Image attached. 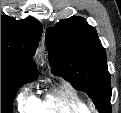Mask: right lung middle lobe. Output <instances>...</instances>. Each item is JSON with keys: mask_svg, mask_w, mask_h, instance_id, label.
I'll list each match as a JSON object with an SVG mask.
<instances>
[{"mask_svg": "<svg viewBox=\"0 0 121 113\" xmlns=\"http://www.w3.org/2000/svg\"><path fill=\"white\" fill-rule=\"evenodd\" d=\"M24 71L1 62V113H12V100L19 87L34 80Z\"/></svg>", "mask_w": 121, "mask_h": 113, "instance_id": "right-lung-middle-lobe-1", "label": "right lung middle lobe"}]
</instances>
